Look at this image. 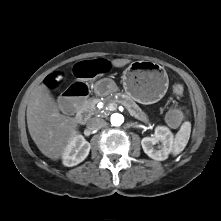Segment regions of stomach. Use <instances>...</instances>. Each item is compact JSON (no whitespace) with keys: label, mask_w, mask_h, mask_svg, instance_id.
Segmentation results:
<instances>
[{"label":"stomach","mask_w":221,"mask_h":221,"mask_svg":"<svg viewBox=\"0 0 221 221\" xmlns=\"http://www.w3.org/2000/svg\"><path fill=\"white\" fill-rule=\"evenodd\" d=\"M125 93L141 104L159 101L168 89L169 79L164 68L152 61H135L123 72Z\"/></svg>","instance_id":"0dacf381"}]
</instances>
